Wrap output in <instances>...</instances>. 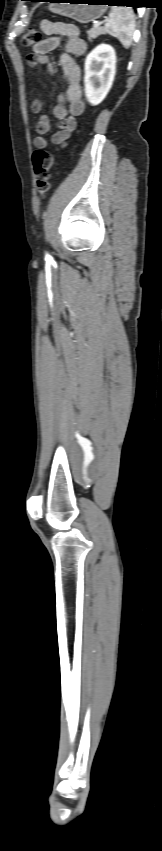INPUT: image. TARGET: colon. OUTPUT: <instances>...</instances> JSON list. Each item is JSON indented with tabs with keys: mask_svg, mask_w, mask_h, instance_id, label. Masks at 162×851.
Segmentation results:
<instances>
[{
	"mask_svg": "<svg viewBox=\"0 0 162 851\" xmlns=\"http://www.w3.org/2000/svg\"><path fill=\"white\" fill-rule=\"evenodd\" d=\"M41 40V33L35 28H29L22 37V45L27 48L33 47ZM54 161V156L43 149H37L33 153L32 162L36 177V186L42 198L46 196L49 190V179Z\"/></svg>",
	"mask_w": 162,
	"mask_h": 851,
	"instance_id": "1",
	"label": "colon"
}]
</instances>
